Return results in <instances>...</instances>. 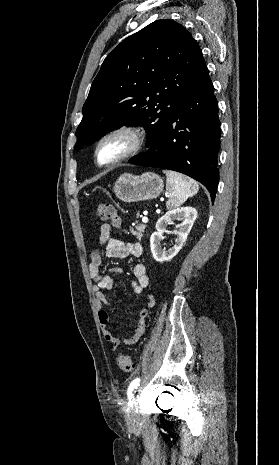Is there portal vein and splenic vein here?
Segmentation results:
<instances>
[{
    "mask_svg": "<svg viewBox=\"0 0 279 465\" xmlns=\"http://www.w3.org/2000/svg\"><path fill=\"white\" fill-rule=\"evenodd\" d=\"M142 222H143V223H147V222H148V218H147L146 216H144V217L142 218Z\"/></svg>",
    "mask_w": 279,
    "mask_h": 465,
    "instance_id": "obj_1",
    "label": "portal vein and splenic vein"
}]
</instances>
